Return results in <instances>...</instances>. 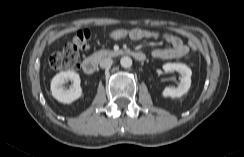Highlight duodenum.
<instances>
[{
	"label": "duodenum",
	"instance_id": "410a0bca",
	"mask_svg": "<svg viewBox=\"0 0 244 157\" xmlns=\"http://www.w3.org/2000/svg\"><path fill=\"white\" fill-rule=\"evenodd\" d=\"M128 54L134 57L137 61H144L146 56L144 53L139 51L128 50ZM82 69L87 74H94L98 69V61L96 58H85L82 61Z\"/></svg>",
	"mask_w": 244,
	"mask_h": 157
}]
</instances>
